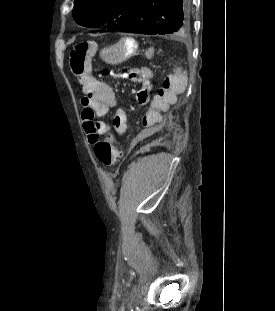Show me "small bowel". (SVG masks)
<instances>
[{
    "label": "small bowel",
    "mask_w": 275,
    "mask_h": 311,
    "mask_svg": "<svg viewBox=\"0 0 275 311\" xmlns=\"http://www.w3.org/2000/svg\"><path fill=\"white\" fill-rule=\"evenodd\" d=\"M168 63H175V56L167 57ZM129 78L139 82L140 91L136 93V103L144 108L140 120L142 129H153L157 122H161L166 112H172L177 108L180 98H186L190 81L182 69H177L176 64H169L167 74H161L160 80H154L157 75L149 65H142L141 69H131ZM81 88L86 96L82 99V112L80 118L83 120V128L88 140L91 137L110 132L119 136L125 133L127 125L126 112L121 108L120 101L115 97L112 87L90 74L79 79ZM153 85V86H152ZM154 87L157 88V92ZM110 110H114L112 122L95 121V117H103ZM93 143V142H92Z\"/></svg>",
    "instance_id": "obj_1"
}]
</instances>
